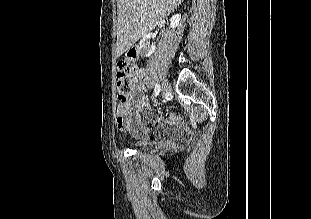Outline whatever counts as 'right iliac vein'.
Instances as JSON below:
<instances>
[{
  "label": "right iliac vein",
  "instance_id": "right-iliac-vein-1",
  "mask_svg": "<svg viewBox=\"0 0 311 219\" xmlns=\"http://www.w3.org/2000/svg\"><path fill=\"white\" fill-rule=\"evenodd\" d=\"M169 89V83L167 80H163L162 85H161V91L162 93H166Z\"/></svg>",
  "mask_w": 311,
  "mask_h": 219
}]
</instances>
